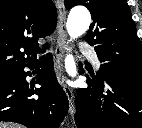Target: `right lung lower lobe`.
Here are the masks:
<instances>
[{
    "instance_id": "right-lung-lower-lobe-1",
    "label": "right lung lower lobe",
    "mask_w": 142,
    "mask_h": 128,
    "mask_svg": "<svg viewBox=\"0 0 142 128\" xmlns=\"http://www.w3.org/2000/svg\"><path fill=\"white\" fill-rule=\"evenodd\" d=\"M51 54L36 78L40 88L29 85L25 67L35 68L37 61L17 71L0 84V121L20 123L29 128H59L68 112V100L53 71Z\"/></svg>"
}]
</instances>
